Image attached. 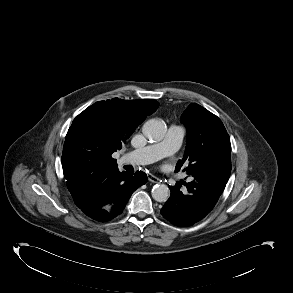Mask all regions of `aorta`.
Listing matches in <instances>:
<instances>
[{
    "instance_id": "aorta-1",
    "label": "aorta",
    "mask_w": 293,
    "mask_h": 293,
    "mask_svg": "<svg viewBox=\"0 0 293 293\" xmlns=\"http://www.w3.org/2000/svg\"><path fill=\"white\" fill-rule=\"evenodd\" d=\"M142 132L150 141L159 142L166 134V126L159 119H150L142 127ZM170 190L165 184H157L152 189V197L157 202H165L169 198Z\"/></svg>"
}]
</instances>
